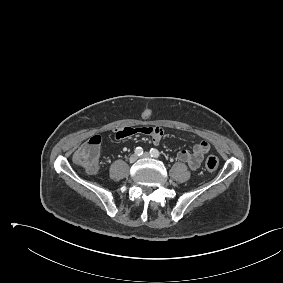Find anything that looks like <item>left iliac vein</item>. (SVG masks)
<instances>
[{"label":"left iliac vein","mask_w":283,"mask_h":283,"mask_svg":"<svg viewBox=\"0 0 283 283\" xmlns=\"http://www.w3.org/2000/svg\"><path fill=\"white\" fill-rule=\"evenodd\" d=\"M141 157L142 158H148V157H150V154L148 152H145Z\"/></svg>","instance_id":"obj_1"}]
</instances>
